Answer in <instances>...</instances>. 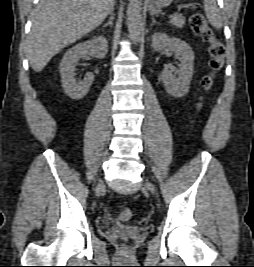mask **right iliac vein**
<instances>
[{
    "label": "right iliac vein",
    "instance_id": "63e3f726",
    "mask_svg": "<svg viewBox=\"0 0 254 267\" xmlns=\"http://www.w3.org/2000/svg\"><path fill=\"white\" fill-rule=\"evenodd\" d=\"M105 189V184L103 182L99 183L96 189V194L99 195Z\"/></svg>",
    "mask_w": 254,
    "mask_h": 267
}]
</instances>
